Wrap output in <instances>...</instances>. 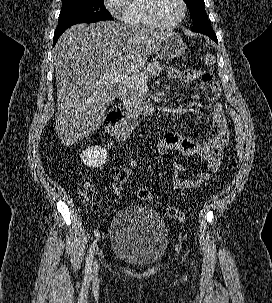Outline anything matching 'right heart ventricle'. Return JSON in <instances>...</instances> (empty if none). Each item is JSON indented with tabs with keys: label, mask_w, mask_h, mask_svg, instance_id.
<instances>
[{
	"label": "right heart ventricle",
	"mask_w": 272,
	"mask_h": 303,
	"mask_svg": "<svg viewBox=\"0 0 272 303\" xmlns=\"http://www.w3.org/2000/svg\"><path fill=\"white\" fill-rule=\"evenodd\" d=\"M145 3L146 0H129L123 21L134 27H152L146 16Z\"/></svg>",
	"instance_id": "e07e8e85"
}]
</instances>
